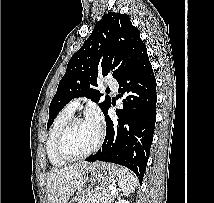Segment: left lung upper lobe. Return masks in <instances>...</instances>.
I'll list each match as a JSON object with an SVG mask.
<instances>
[{
	"instance_id": "obj_1",
	"label": "left lung upper lobe",
	"mask_w": 214,
	"mask_h": 203,
	"mask_svg": "<svg viewBox=\"0 0 214 203\" xmlns=\"http://www.w3.org/2000/svg\"><path fill=\"white\" fill-rule=\"evenodd\" d=\"M145 48L139 30L132 25L128 15L117 12L104 14L84 45L69 60L49 107L47 128L71 99L85 96L98 102L102 96L95 89L98 75L111 72L118 80ZM110 105V97L99 104L103 113Z\"/></svg>"
}]
</instances>
